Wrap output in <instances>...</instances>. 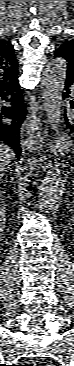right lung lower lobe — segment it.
Wrapping results in <instances>:
<instances>
[{"mask_svg":"<svg viewBox=\"0 0 74 366\" xmlns=\"http://www.w3.org/2000/svg\"><path fill=\"white\" fill-rule=\"evenodd\" d=\"M7 102L4 106L3 103ZM23 92L18 81L0 87V142L6 143L15 153L17 160L22 152L20 135L26 119Z\"/></svg>","mask_w":74,"mask_h":366,"instance_id":"right-lung-lower-lobe-1","label":"right lung lower lobe"}]
</instances>
